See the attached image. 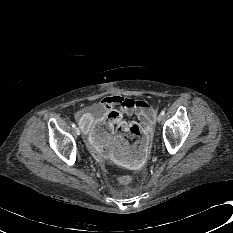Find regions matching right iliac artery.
<instances>
[{
    "mask_svg": "<svg viewBox=\"0 0 233 233\" xmlns=\"http://www.w3.org/2000/svg\"><path fill=\"white\" fill-rule=\"evenodd\" d=\"M71 125H72V127H73V128H75V127H76V125H75L74 123H72Z\"/></svg>",
    "mask_w": 233,
    "mask_h": 233,
    "instance_id": "82829eb1",
    "label": "right iliac artery"
}]
</instances>
